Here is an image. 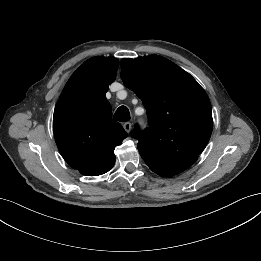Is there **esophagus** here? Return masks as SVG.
<instances>
[{
  "mask_svg": "<svg viewBox=\"0 0 261 261\" xmlns=\"http://www.w3.org/2000/svg\"><path fill=\"white\" fill-rule=\"evenodd\" d=\"M123 127H124V129H125V131H126L127 133H130V131H131V129H132V125H131L130 122H125V123L123 124Z\"/></svg>",
  "mask_w": 261,
  "mask_h": 261,
  "instance_id": "obj_1",
  "label": "esophagus"
}]
</instances>
